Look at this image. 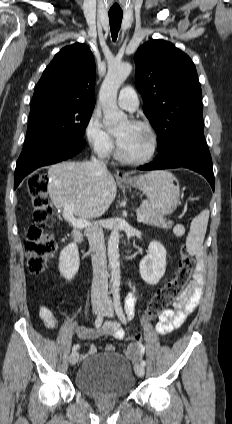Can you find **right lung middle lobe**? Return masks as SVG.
Returning <instances> with one entry per match:
<instances>
[{"label":"right lung middle lobe","mask_w":232,"mask_h":424,"mask_svg":"<svg viewBox=\"0 0 232 424\" xmlns=\"http://www.w3.org/2000/svg\"><path fill=\"white\" fill-rule=\"evenodd\" d=\"M93 108L47 104L31 108L25 142L36 136L82 139Z\"/></svg>","instance_id":"1"}]
</instances>
